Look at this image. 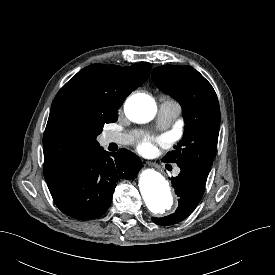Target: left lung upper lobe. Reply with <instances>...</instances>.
<instances>
[{"instance_id": "1", "label": "left lung upper lobe", "mask_w": 275, "mask_h": 275, "mask_svg": "<svg viewBox=\"0 0 275 275\" xmlns=\"http://www.w3.org/2000/svg\"><path fill=\"white\" fill-rule=\"evenodd\" d=\"M152 79L176 99L185 120L183 139L163 161L200 165L210 170L218 142L220 109L211 84L191 66L163 65L153 69Z\"/></svg>"}]
</instances>
